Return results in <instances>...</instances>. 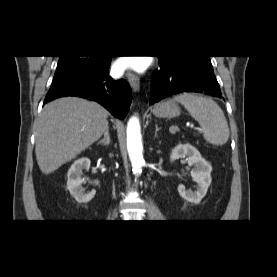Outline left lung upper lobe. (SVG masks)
<instances>
[{
    "mask_svg": "<svg viewBox=\"0 0 277 277\" xmlns=\"http://www.w3.org/2000/svg\"><path fill=\"white\" fill-rule=\"evenodd\" d=\"M158 57H159V59H166V58H170V57H181L183 59L210 61V56L183 55V56H158Z\"/></svg>",
    "mask_w": 277,
    "mask_h": 277,
    "instance_id": "5c2ea615",
    "label": "left lung upper lobe"
}]
</instances>
